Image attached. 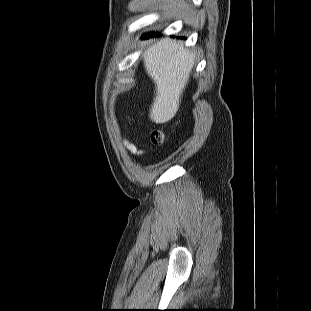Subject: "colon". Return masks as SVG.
<instances>
[{
	"label": "colon",
	"mask_w": 311,
	"mask_h": 311,
	"mask_svg": "<svg viewBox=\"0 0 311 311\" xmlns=\"http://www.w3.org/2000/svg\"><path fill=\"white\" fill-rule=\"evenodd\" d=\"M151 136L156 144H161L165 139L164 133L160 130H154Z\"/></svg>",
	"instance_id": "colon-1"
}]
</instances>
